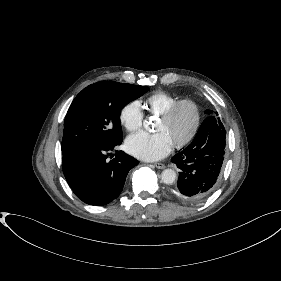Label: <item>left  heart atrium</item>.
<instances>
[{"label":"left heart atrium","mask_w":281,"mask_h":281,"mask_svg":"<svg viewBox=\"0 0 281 281\" xmlns=\"http://www.w3.org/2000/svg\"><path fill=\"white\" fill-rule=\"evenodd\" d=\"M172 146L173 144L163 132L141 131L129 136L126 140L127 151L146 161H156L165 157L171 151Z\"/></svg>","instance_id":"left-heart-atrium-1"}]
</instances>
